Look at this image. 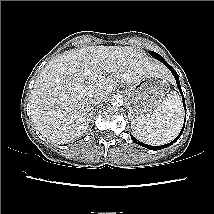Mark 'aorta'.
I'll use <instances>...</instances> for the list:
<instances>
[{"mask_svg":"<svg viewBox=\"0 0 214 214\" xmlns=\"http://www.w3.org/2000/svg\"><path fill=\"white\" fill-rule=\"evenodd\" d=\"M123 97L121 95H114L112 98H111V104L114 106V107H120L122 106L123 104Z\"/></svg>","mask_w":214,"mask_h":214,"instance_id":"obj_1","label":"aorta"}]
</instances>
